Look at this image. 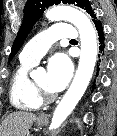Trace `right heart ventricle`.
Here are the masks:
<instances>
[{
    "mask_svg": "<svg viewBox=\"0 0 117 136\" xmlns=\"http://www.w3.org/2000/svg\"><path fill=\"white\" fill-rule=\"evenodd\" d=\"M34 63L21 60L16 68L10 84L9 96L11 104L23 111L37 110L42 102L38 98L29 70Z\"/></svg>",
    "mask_w": 117,
    "mask_h": 136,
    "instance_id": "e07e8e85",
    "label": "right heart ventricle"
}]
</instances>
